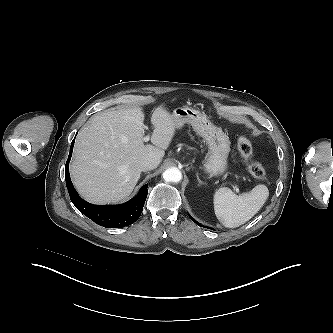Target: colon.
<instances>
[{"instance_id":"1","label":"colon","mask_w":333,"mask_h":333,"mask_svg":"<svg viewBox=\"0 0 333 333\" xmlns=\"http://www.w3.org/2000/svg\"><path fill=\"white\" fill-rule=\"evenodd\" d=\"M237 147L250 175L255 179H263L266 171L262 164L252 160L253 147L250 140L245 136H240L237 141Z\"/></svg>"}]
</instances>
